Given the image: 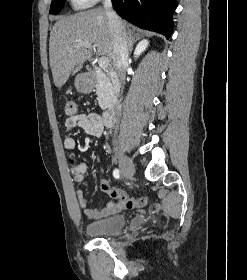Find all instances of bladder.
Masks as SVG:
<instances>
[{
    "label": "bladder",
    "instance_id": "1",
    "mask_svg": "<svg viewBox=\"0 0 247 280\" xmlns=\"http://www.w3.org/2000/svg\"><path fill=\"white\" fill-rule=\"evenodd\" d=\"M127 223L125 216L116 215L90 222L86 225V232L93 237H110L123 231Z\"/></svg>",
    "mask_w": 247,
    "mask_h": 280
}]
</instances>
